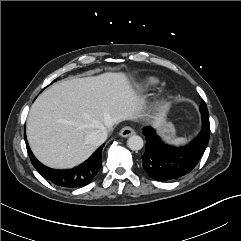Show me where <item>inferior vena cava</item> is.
<instances>
[{"mask_svg": "<svg viewBox=\"0 0 241 241\" xmlns=\"http://www.w3.org/2000/svg\"><path fill=\"white\" fill-rule=\"evenodd\" d=\"M107 135H108V129L106 127H102L100 129H97L89 133L86 137V140L91 145L100 146L106 141Z\"/></svg>", "mask_w": 241, "mask_h": 241, "instance_id": "602c4592", "label": "inferior vena cava"}]
</instances>
